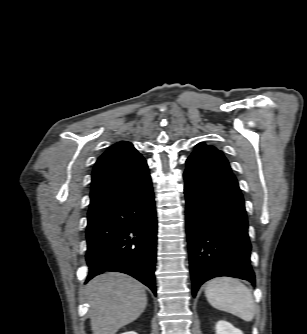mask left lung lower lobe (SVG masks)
Segmentation results:
<instances>
[{"mask_svg": "<svg viewBox=\"0 0 307 334\" xmlns=\"http://www.w3.org/2000/svg\"><path fill=\"white\" fill-rule=\"evenodd\" d=\"M183 176L193 296L219 276L255 284L245 205L234 174L193 163Z\"/></svg>", "mask_w": 307, "mask_h": 334, "instance_id": "0a47b994", "label": "left lung lower lobe"}]
</instances>
